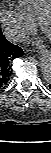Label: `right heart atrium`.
Here are the masks:
<instances>
[{"mask_svg": "<svg viewBox=\"0 0 51 153\" xmlns=\"http://www.w3.org/2000/svg\"><path fill=\"white\" fill-rule=\"evenodd\" d=\"M0 22L6 35L12 40L20 41L33 31L34 25L19 7L4 6L0 10Z\"/></svg>", "mask_w": 51, "mask_h": 153, "instance_id": "obj_1", "label": "right heart atrium"}]
</instances>
